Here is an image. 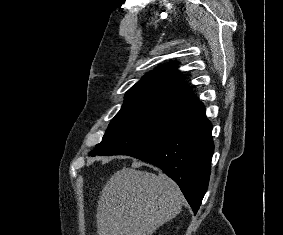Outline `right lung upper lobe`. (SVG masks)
<instances>
[{
  "label": "right lung upper lobe",
  "instance_id": "1",
  "mask_svg": "<svg viewBox=\"0 0 283 235\" xmlns=\"http://www.w3.org/2000/svg\"><path fill=\"white\" fill-rule=\"evenodd\" d=\"M162 66L148 73L125 95V102L168 101L190 105L197 100L182 77Z\"/></svg>",
  "mask_w": 283,
  "mask_h": 235
}]
</instances>
